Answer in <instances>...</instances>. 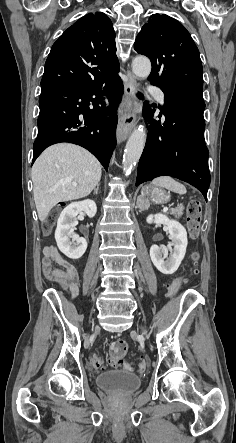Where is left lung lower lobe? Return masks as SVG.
<instances>
[{
	"label": "left lung lower lobe",
	"mask_w": 236,
	"mask_h": 443,
	"mask_svg": "<svg viewBox=\"0 0 236 443\" xmlns=\"http://www.w3.org/2000/svg\"><path fill=\"white\" fill-rule=\"evenodd\" d=\"M160 88L165 103L159 106V118L164 114L166 120L163 124L153 120L155 110L144 104L143 116L151 125L138 165L136 186L159 176H172L195 186L207 201L210 172L204 140L203 87Z\"/></svg>",
	"instance_id": "left-lung-lower-lobe-1"
}]
</instances>
